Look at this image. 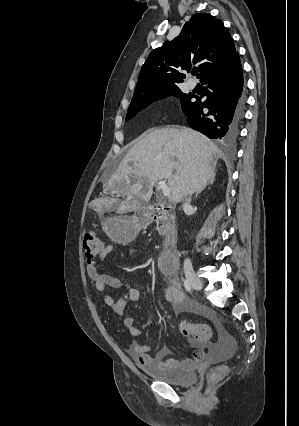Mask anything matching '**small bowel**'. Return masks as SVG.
<instances>
[{
  "label": "small bowel",
  "instance_id": "1",
  "mask_svg": "<svg viewBox=\"0 0 299 426\" xmlns=\"http://www.w3.org/2000/svg\"><path fill=\"white\" fill-rule=\"evenodd\" d=\"M114 246L111 244L103 246L98 260L103 262L106 257L113 252ZM87 274L92 280L95 288L102 292L104 303L111 308L116 314L123 316L128 302H139L140 293L134 288H128L126 292L119 298H115L110 289H117L122 286L119 278L103 272L97 265V261L92 264H87ZM163 291L166 300L173 305L175 312L196 311L210 318L218 327V323L214 316L206 310L200 309L190 299H188L174 274H165V282ZM125 327L132 336V343L129 349L131 357H133L140 365H153L158 368H182L185 370L194 369L200 365L207 364L211 357L216 354L214 344L210 342L190 341V346L195 348L193 357L179 361L170 357V350L167 347H162L154 355L150 354L151 348L138 341L141 336V330L136 326L135 320L132 317H125L123 321Z\"/></svg>",
  "mask_w": 299,
  "mask_h": 426
}]
</instances>
